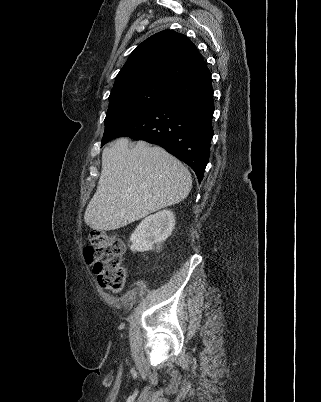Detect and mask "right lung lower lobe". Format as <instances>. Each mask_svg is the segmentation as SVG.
Instances as JSON below:
<instances>
[{
    "mask_svg": "<svg viewBox=\"0 0 321 402\" xmlns=\"http://www.w3.org/2000/svg\"><path fill=\"white\" fill-rule=\"evenodd\" d=\"M213 112L211 73L206 67L173 84L163 101L115 138L127 136L162 146L189 165L201 182L210 155Z\"/></svg>",
    "mask_w": 321,
    "mask_h": 402,
    "instance_id": "98d812e1",
    "label": "right lung lower lobe"
}]
</instances>
